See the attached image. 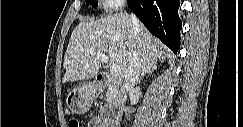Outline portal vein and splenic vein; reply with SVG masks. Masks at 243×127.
<instances>
[{
	"label": "portal vein and splenic vein",
	"mask_w": 243,
	"mask_h": 127,
	"mask_svg": "<svg viewBox=\"0 0 243 127\" xmlns=\"http://www.w3.org/2000/svg\"><path fill=\"white\" fill-rule=\"evenodd\" d=\"M90 54L95 55L101 62L108 63V61H109V58L103 53L91 50ZM109 70H110V73L112 76H119L121 73L120 67L116 64H112L110 66Z\"/></svg>",
	"instance_id": "portal-vein-and-splenic-vein-1"
}]
</instances>
